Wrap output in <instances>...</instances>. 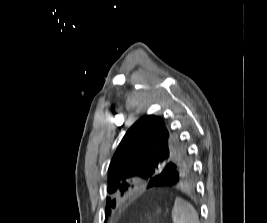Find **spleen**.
I'll return each mask as SVG.
<instances>
[{
	"mask_svg": "<svg viewBox=\"0 0 267 223\" xmlns=\"http://www.w3.org/2000/svg\"><path fill=\"white\" fill-rule=\"evenodd\" d=\"M172 219L173 223H200L195 208L181 198L175 199Z\"/></svg>",
	"mask_w": 267,
	"mask_h": 223,
	"instance_id": "obj_1",
	"label": "spleen"
}]
</instances>
